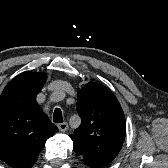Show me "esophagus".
Returning a JSON list of instances; mask_svg holds the SVG:
<instances>
[{"mask_svg": "<svg viewBox=\"0 0 168 168\" xmlns=\"http://www.w3.org/2000/svg\"><path fill=\"white\" fill-rule=\"evenodd\" d=\"M58 128L60 129V131H66L68 129V123L64 122V123L58 124Z\"/></svg>", "mask_w": 168, "mask_h": 168, "instance_id": "esophagus-1", "label": "esophagus"}]
</instances>
